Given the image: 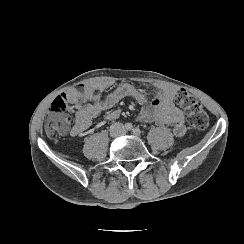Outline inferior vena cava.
Masks as SVG:
<instances>
[{"instance_id": "602c4592", "label": "inferior vena cava", "mask_w": 244, "mask_h": 244, "mask_svg": "<svg viewBox=\"0 0 244 244\" xmlns=\"http://www.w3.org/2000/svg\"><path fill=\"white\" fill-rule=\"evenodd\" d=\"M125 129H124V125L121 123H113L110 126V134L111 136L114 137H119L124 133Z\"/></svg>"}]
</instances>
